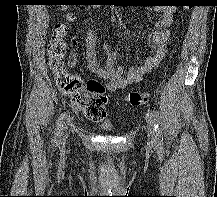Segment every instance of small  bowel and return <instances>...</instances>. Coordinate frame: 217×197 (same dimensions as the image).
<instances>
[{"label": "small bowel", "mask_w": 217, "mask_h": 197, "mask_svg": "<svg viewBox=\"0 0 217 197\" xmlns=\"http://www.w3.org/2000/svg\"><path fill=\"white\" fill-rule=\"evenodd\" d=\"M154 10L160 12L162 17L156 23V28L151 32V51L143 66L133 67L125 76L124 68L116 66L117 54L109 46L103 48L105 65L100 66L97 60V34L93 29L87 31L86 37V62L90 71L99 78L107 80L106 87L109 91L124 90L154 70L165 56V44L170 35V26L173 22L175 9L172 5H156ZM65 17L69 22H75L77 16L74 12L65 10ZM74 45V41H71Z\"/></svg>", "instance_id": "1"}]
</instances>
